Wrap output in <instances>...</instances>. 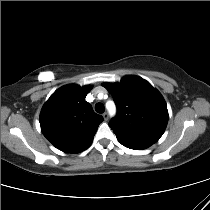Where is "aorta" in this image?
<instances>
[{"mask_svg":"<svg viewBox=\"0 0 210 210\" xmlns=\"http://www.w3.org/2000/svg\"><path fill=\"white\" fill-rule=\"evenodd\" d=\"M106 106H107V109L109 110V113L111 115H115V113H116V107H115L114 102L109 101V102H107Z\"/></svg>","mask_w":210,"mask_h":210,"instance_id":"aorta-1","label":"aorta"}]
</instances>
